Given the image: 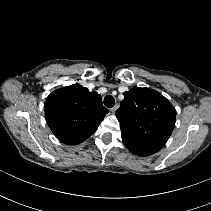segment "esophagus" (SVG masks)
Returning <instances> with one entry per match:
<instances>
[{
    "label": "esophagus",
    "instance_id": "1",
    "mask_svg": "<svg viewBox=\"0 0 211 211\" xmlns=\"http://www.w3.org/2000/svg\"><path fill=\"white\" fill-rule=\"evenodd\" d=\"M117 108H118V105H115L114 107H112V108L110 109V111H111L112 113H115L116 110H117Z\"/></svg>",
    "mask_w": 211,
    "mask_h": 211
}]
</instances>
